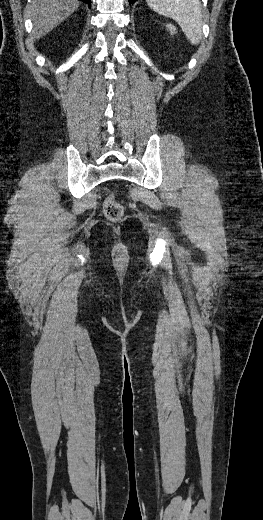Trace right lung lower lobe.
<instances>
[{"instance_id": "obj_1", "label": "right lung lower lobe", "mask_w": 263, "mask_h": 520, "mask_svg": "<svg viewBox=\"0 0 263 520\" xmlns=\"http://www.w3.org/2000/svg\"><path fill=\"white\" fill-rule=\"evenodd\" d=\"M86 2L89 6H91V0H80Z\"/></svg>"}]
</instances>
